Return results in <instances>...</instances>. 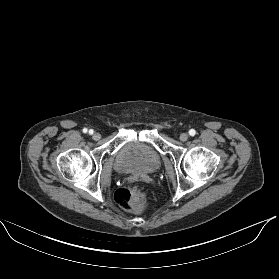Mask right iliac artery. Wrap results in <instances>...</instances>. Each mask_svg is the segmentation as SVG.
Segmentation results:
<instances>
[{"label": "right iliac artery", "instance_id": "82829eb1", "mask_svg": "<svg viewBox=\"0 0 279 279\" xmlns=\"http://www.w3.org/2000/svg\"><path fill=\"white\" fill-rule=\"evenodd\" d=\"M83 132H84V133H87V132H88L87 128H84V129H83ZM89 133H90V134H93V130H89Z\"/></svg>", "mask_w": 279, "mask_h": 279}]
</instances>
